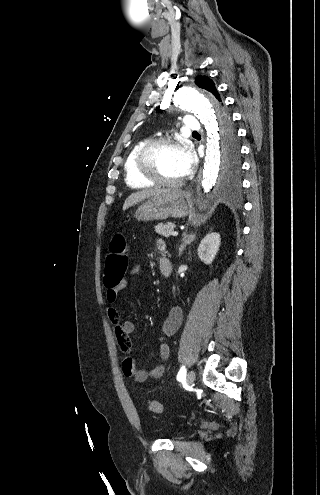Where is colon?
I'll list each match as a JSON object with an SVG mask.
<instances>
[{
	"label": "colon",
	"mask_w": 320,
	"mask_h": 495,
	"mask_svg": "<svg viewBox=\"0 0 320 495\" xmlns=\"http://www.w3.org/2000/svg\"><path fill=\"white\" fill-rule=\"evenodd\" d=\"M129 262L126 240L123 235L116 234L111 240L106 256L104 277L107 285H115L123 279ZM148 409L159 414L163 410L162 404L157 400H147Z\"/></svg>",
	"instance_id": "obj_1"
}]
</instances>
